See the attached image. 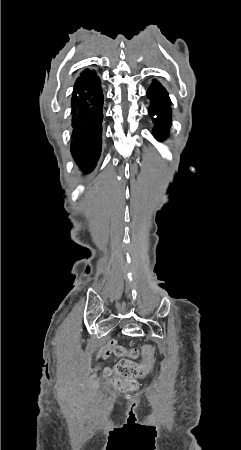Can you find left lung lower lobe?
<instances>
[{
	"mask_svg": "<svg viewBox=\"0 0 241 450\" xmlns=\"http://www.w3.org/2000/svg\"><path fill=\"white\" fill-rule=\"evenodd\" d=\"M147 96L151 100L149 115L153 117L155 128L153 135L162 140L171 125L170 98L165 88L157 81H154L147 91Z\"/></svg>",
	"mask_w": 241,
	"mask_h": 450,
	"instance_id": "0a47b994",
	"label": "left lung lower lobe"
}]
</instances>
